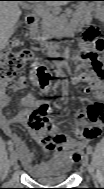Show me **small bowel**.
<instances>
[{
	"label": "small bowel",
	"mask_w": 104,
	"mask_h": 189,
	"mask_svg": "<svg viewBox=\"0 0 104 189\" xmlns=\"http://www.w3.org/2000/svg\"><path fill=\"white\" fill-rule=\"evenodd\" d=\"M63 70L64 66H61L59 73L62 74ZM31 77L38 81L36 70L32 71ZM72 81L75 84H85V92L95 97L92 103H101L103 83L99 78V74L95 72H84L74 77ZM47 86L48 84L42 87L47 88ZM8 104L9 97L7 95L0 97V108L2 110L0 112V126L5 135L8 136L10 145L16 148L24 168L32 175H42L46 170L54 169L55 167L67 171L72 163L79 160L84 148L89 142L101 133L103 116L97 119L91 118L90 104L88 107L81 108L77 112L76 117L80 122V127L76 129L74 137L67 136L57 127H54L51 132L52 141L46 142L42 140L41 136L33 128L32 118L43 120L46 125H50V119H53L50 105L46 102H39L32 95L26 94L20 101V109L17 114L9 117L3 112ZM41 108L45 110L40 112ZM14 123L26 126L31 136L43 145L44 151L50 153L51 157L39 164H33V153L19 135L15 133L12 127ZM83 131L86 134H83Z\"/></svg>",
	"instance_id": "small-bowel-1"
}]
</instances>
